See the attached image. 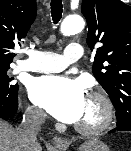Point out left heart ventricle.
<instances>
[{
  "label": "left heart ventricle",
  "mask_w": 131,
  "mask_h": 151,
  "mask_svg": "<svg viewBox=\"0 0 131 151\" xmlns=\"http://www.w3.org/2000/svg\"><path fill=\"white\" fill-rule=\"evenodd\" d=\"M101 117L100 105L93 100L86 99L85 107L81 118L77 123L93 124L96 123Z\"/></svg>",
  "instance_id": "1"
}]
</instances>
